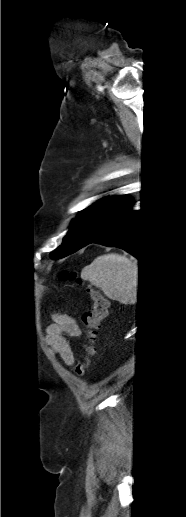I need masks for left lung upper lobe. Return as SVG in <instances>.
Instances as JSON below:
<instances>
[{"instance_id": "obj_1", "label": "left lung upper lobe", "mask_w": 186, "mask_h": 517, "mask_svg": "<svg viewBox=\"0 0 186 517\" xmlns=\"http://www.w3.org/2000/svg\"><path fill=\"white\" fill-rule=\"evenodd\" d=\"M122 196L110 197L98 201L84 209L74 219L63 244L51 253L53 258L65 257L85 246L90 239L97 222L112 208Z\"/></svg>"}]
</instances>
